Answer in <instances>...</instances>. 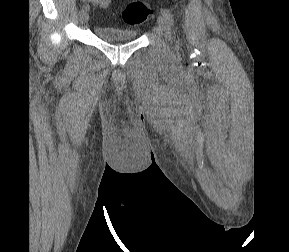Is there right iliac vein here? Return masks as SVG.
<instances>
[{
  "label": "right iliac vein",
  "mask_w": 289,
  "mask_h": 252,
  "mask_svg": "<svg viewBox=\"0 0 289 252\" xmlns=\"http://www.w3.org/2000/svg\"><path fill=\"white\" fill-rule=\"evenodd\" d=\"M89 20V15L87 11H81L80 12V21L82 24L87 23Z\"/></svg>",
  "instance_id": "1"
}]
</instances>
